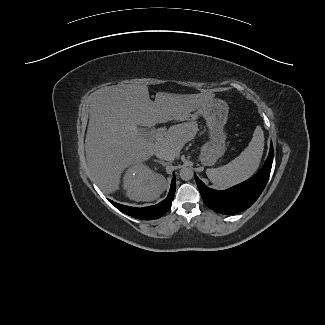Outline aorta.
I'll list each match as a JSON object with an SVG mask.
<instances>
[{
    "label": "aorta",
    "instance_id": "aorta-1",
    "mask_svg": "<svg viewBox=\"0 0 325 325\" xmlns=\"http://www.w3.org/2000/svg\"><path fill=\"white\" fill-rule=\"evenodd\" d=\"M180 177L184 181L191 180L193 178V170L189 167H183L180 170Z\"/></svg>",
    "mask_w": 325,
    "mask_h": 325
}]
</instances>
